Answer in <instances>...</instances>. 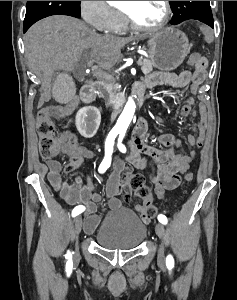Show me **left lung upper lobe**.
Wrapping results in <instances>:
<instances>
[{
	"label": "left lung upper lobe",
	"mask_w": 237,
	"mask_h": 300,
	"mask_svg": "<svg viewBox=\"0 0 237 300\" xmlns=\"http://www.w3.org/2000/svg\"><path fill=\"white\" fill-rule=\"evenodd\" d=\"M170 3L174 13L171 21L173 25L190 19L199 20L205 24L213 21L209 1H170Z\"/></svg>",
	"instance_id": "1"
}]
</instances>
